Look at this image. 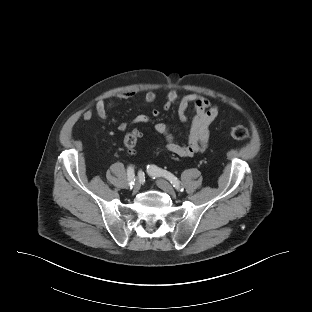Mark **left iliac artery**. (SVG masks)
Returning <instances> with one entry per match:
<instances>
[{
    "label": "left iliac artery",
    "mask_w": 312,
    "mask_h": 312,
    "mask_svg": "<svg viewBox=\"0 0 312 312\" xmlns=\"http://www.w3.org/2000/svg\"><path fill=\"white\" fill-rule=\"evenodd\" d=\"M147 172L153 177H160V176L165 177L171 182L173 187H175L179 191H183L180 181L172 173L166 170H163L155 165H148Z\"/></svg>",
    "instance_id": "44dca946"
}]
</instances>
